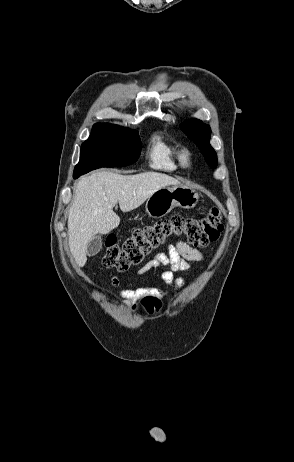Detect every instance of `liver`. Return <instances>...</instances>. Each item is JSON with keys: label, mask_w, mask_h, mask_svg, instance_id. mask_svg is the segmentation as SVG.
<instances>
[{"label": "liver", "mask_w": 294, "mask_h": 462, "mask_svg": "<svg viewBox=\"0 0 294 462\" xmlns=\"http://www.w3.org/2000/svg\"><path fill=\"white\" fill-rule=\"evenodd\" d=\"M179 184L177 179L157 172L120 175L100 171L82 177L76 184L68 215L69 248L76 263L85 265L87 244L95 235L118 227L120 217L113 211L117 203L121 211L129 212L158 189Z\"/></svg>", "instance_id": "liver-1"}]
</instances>
